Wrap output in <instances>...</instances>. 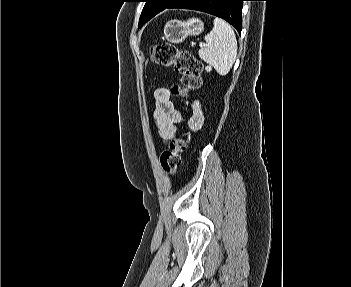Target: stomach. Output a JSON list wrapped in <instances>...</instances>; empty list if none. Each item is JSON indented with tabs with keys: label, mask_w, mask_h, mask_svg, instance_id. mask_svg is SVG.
<instances>
[{
	"label": "stomach",
	"mask_w": 351,
	"mask_h": 287,
	"mask_svg": "<svg viewBox=\"0 0 351 287\" xmlns=\"http://www.w3.org/2000/svg\"><path fill=\"white\" fill-rule=\"evenodd\" d=\"M204 30V23L198 18L187 21L170 20L164 27V38L171 43H181L188 36H196Z\"/></svg>",
	"instance_id": "0dacf381"
}]
</instances>
